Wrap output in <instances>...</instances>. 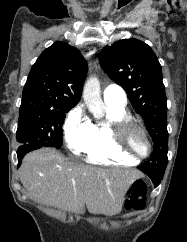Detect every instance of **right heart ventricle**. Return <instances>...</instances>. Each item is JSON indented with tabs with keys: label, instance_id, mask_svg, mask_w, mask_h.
I'll return each instance as SVG.
<instances>
[{
	"label": "right heart ventricle",
	"instance_id": "right-heart-ventricle-1",
	"mask_svg": "<svg viewBox=\"0 0 187 242\" xmlns=\"http://www.w3.org/2000/svg\"><path fill=\"white\" fill-rule=\"evenodd\" d=\"M106 120L94 125V139L86 149L85 160L94 165H125L137 164L131 158L118 153L112 145L109 133V124L118 118L128 117L125 107H112L106 105Z\"/></svg>",
	"mask_w": 187,
	"mask_h": 242
}]
</instances>
